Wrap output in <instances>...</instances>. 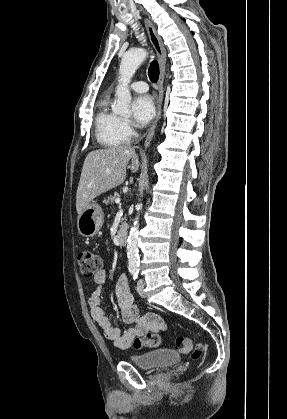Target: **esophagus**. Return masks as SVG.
I'll return each instance as SVG.
<instances>
[{"label":"esophagus","instance_id":"1","mask_svg":"<svg viewBox=\"0 0 287 419\" xmlns=\"http://www.w3.org/2000/svg\"><path fill=\"white\" fill-rule=\"evenodd\" d=\"M144 24H145V28H146L148 37L150 39V42L156 51L158 62H159V68H160V75H159L158 89H157L158 97L156 100L157 112L152 122V125L147 132V136L144 142V148H147L154 135L157 122L159 121L161 117V108H162V102H163V96H164L163 84H164V77H165V70H166V50L153 23L148 18H145Z\"/></svg>","mask_w":287,"mask_h":419}]
</instances>
